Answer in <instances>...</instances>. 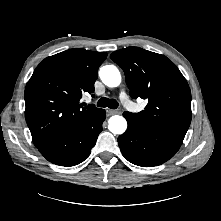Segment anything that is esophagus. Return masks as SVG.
<instances>
[{
  "instance_id": "obj_1",
  "label": "esophagus",
  "mask_w": 221,
  "mask_h": 221,
  "mask_svg": "<svg viewBox=\"0 0 221 221\" xmlns=\"http://www.w3.org/2000/svg\"><path fill=\"white\" fill-rule=\"evenodd\" d=\"M107 112H108L110 115H113V114H118L120 111H119V110H113V109H107Z\"/></svg>"
}]
</instances>
